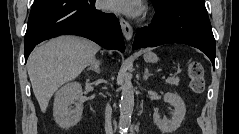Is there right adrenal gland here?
Masks as SVG:
<instances>
[{"label":"right adrenal gland","instance_id":"obj_1","mask_svg":"<svg viewBox=\"0 0 239 134\" xmlns=\"http://www.w3.org/2000/svg\"><path fill=\"white\" fill-rule=\"evenodd\" d=\"M100 65H101V62L94 58L93 61L91 62L90 66L87 68V70H92L94 72H96L97 74L100 73Z\"/></svg>","mask_w":239,"mask_h":134}]
</instances>
